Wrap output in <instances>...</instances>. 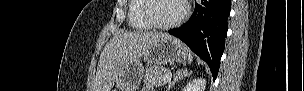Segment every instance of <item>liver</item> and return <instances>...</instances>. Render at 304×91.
I'll use <instances>...</instances> for the list:
<instances>
[{
  "instance_id": "1",
  "label": "liver",
  "mask_w": 304,
  "mask_h": 91,
  "mask_svg": "<svg viewBox=\"0 0 304 91\" xmlns=\"http://www.w3.org/2000/svg\"><path fill=\"white\" fill-rule=\"evenodd\" d=\"M165 37L169 35L163 32L116 33L101 52L93 91H111L121 70L146 55L155 42Z\"/></svg>"
}]
</instances>
